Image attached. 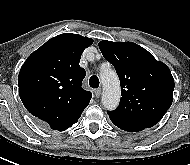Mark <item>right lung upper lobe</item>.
<instances>
[{"mask_svg":"<svg viewBox=\"0 0 190 165\" xmlns=\"http://www.w3.org/2000/svg\"><path fill=\"white\" fill-rule=\"evenodd\" d=\"M93 40L78 34L49 39L22 65L19 95L26 109L53 130L64 131L78 121L92 93L81 87L86 75L81 54Z\"/></svg>","mask_w":190,"mask_h":165,"instance_id":"right-lung-upper-lobe-1","label":"right lung upper lobe"}]
</instances>
